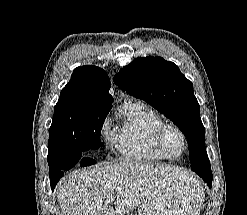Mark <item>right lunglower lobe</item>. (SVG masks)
<instances>
[{"label":"right lung lower lobe","mask_w":247,"mask_h":215,"mask_svg":"<svg viewBox=\"0 0 247 215\" xmlns=\"http://www.w3.org/2000/svg\"><path fill=\"white\" fill-rule=\"evenodd\" d=\"M96 163L92 158L87 157L85 154L70 152L66 153L60 157L54 167L49 166L50 169V185L52 191L55 188V185L64 175V170H69L76 164L80 166H88Z\"/></svg>","instance_id":"98d812e1"}]
</instances>
